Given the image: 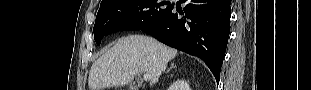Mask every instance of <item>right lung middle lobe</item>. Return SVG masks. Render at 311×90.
<instances>
[{
    "label": "right lung middle lobe",
    "instance_id": "dd1d6c3e",
    "mask_svg": "<svg viewBox=\"0 0 311 90\" xmlns=\"http://www.w3.org/2000/svg\"><path fill=\"white\" fill-rule=\"evenodd\" d=\"M172 6L159 0H106L96 16L94 39L100 45L110 33L148 27L161 20Z\"/></svg>",
    "mask_w": 311,
    "mask_h": 90
}]
</instances>
